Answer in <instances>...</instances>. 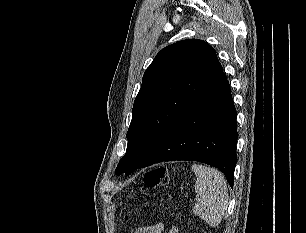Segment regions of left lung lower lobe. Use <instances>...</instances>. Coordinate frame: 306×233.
I'll return each mask as SVG.
<instances>
[{
	"mask_svg": "<svg viewBox=\"0 0 306 233\" xmlns=\"http://www.w3.org/2000/svg\"><path fill=\"white\" fill-rule=\"evenodd\" d=\"M237 138L236 110L221 72L140 168L163 161H199L221 170L233 187Z\"/></svg>",
	"mask_w": 306,
	"mask_h": 233,
	"instance_id": "1",
	"label": "left lung lower lobe"
}]
</instances>
